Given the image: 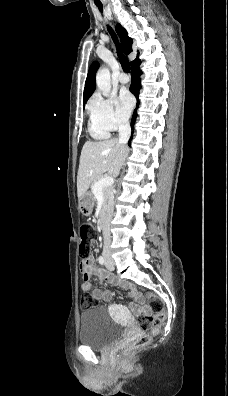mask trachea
I'll use <instances>...</instances> for the list:
<instances>
[{
  "label": "trachea",
  "instance_id": "3493384b",
  "mask_svg": "<svg viewBox=\"0 0 228 396\" xmlns=\"http://www.w3.org/2000/svg\"><path fill=\"white\" fill-rule=\"evenodd\" d=\"M98 8H99L100 12L103 11L102 7H98ZM108 30H109V32H110V34H111V36H112V38H113V40H114V42L116 44L118 58L120 60L122 68L124 69V71L130 72V63H129L128 59L126 58V56H124L122 54L121 49L118 46V39H117L116 34L114 33V31L110 27H108Z\"/></svg>",
  "mask_w": 228,
  "mask_h": 396
}]
</instances>
